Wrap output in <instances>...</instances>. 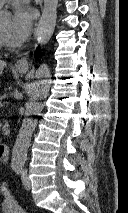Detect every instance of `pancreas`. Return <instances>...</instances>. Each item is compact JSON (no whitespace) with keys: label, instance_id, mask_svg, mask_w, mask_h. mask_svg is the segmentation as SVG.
Listing matches in <instances>:
<instances>
[{"label":"pancreas","instance_id":"obj_1","mask_svg":"<svg viewBox=\"0 0 128 213\" xmlns=\"http://www.w3.org/2000/svg\"><path fill=\"white\" fill-rule=\"evenodd\" d=\"M0 102H1V97H0ZM10 130L8 129V123L6 122L5 125L2 128V134L3 135H8Z\"/></svg>","mask_w":128,"mask_h":213}]
</instances>
